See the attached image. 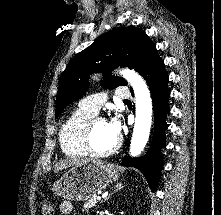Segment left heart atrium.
I'll list each match as a JSON object with an SVG mask.
<instances>
[{
    "instance_id": "obj_1",
    "label": "left heart atrium",
    "mask_w": 221,
    "mask_h": 215,
    "mask_svg": "<svg viewBox=\"0 0 221 215\" xmlns=\"http://www.w3.org/2000/svg\"><path fill=\"white\" fill-rule=\"evenodd\" d=\"M108 126L112 135L118 138L121 130L120 122L116 118H114L108 122Z\"/></svg>"
}]
</instances>
